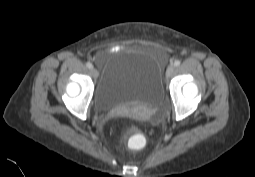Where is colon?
<instances>
[{
	"label": "colon",
	"mask_w": 255,
	"mask_h": 177,
	"mask_svg": "<svg viewBox=\"0 0 255 177\" xmlns=\"http://www.w3.org/2000/svg\"><path fill=\"white\" fill-rule=\"evenodd\" d=\"M129 145L133 149H140L143 146V138L137 133H133L132 136L129 138Z\"/></svg>",
	"instance_id": "colon-1"
}]
</instances>
